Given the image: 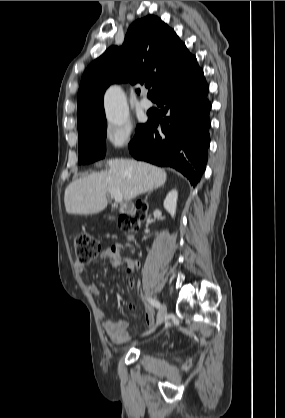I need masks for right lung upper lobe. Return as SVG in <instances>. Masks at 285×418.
<instances>
[{
    "mask_svg": "<svg viewBox=\"0 0 285 418\" xmlns=\"http://www.w3.org/2000/svg\"><path fill=\"white\" fill-rule=\"evenodd\" d=\"M199 69L195 56L160 18L148 15L136 20L122 47H110L85 70L78 91L77 125L104 114L103 95L111 84L150 81L149 98L156 102Z\"/></svg>",
    "mask_w": 285,
    "mask_h": 418,
    "instance_id": "1",
    "label": "right lung upper lobe"
}]
</instances>
